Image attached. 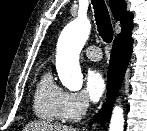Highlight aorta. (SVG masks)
<instances>
[{
  "label": "aorta",
  "instance_id": "762f6f07",
  "mask_svg": "<svg viewBox=\"0 0 147 131\" xmlns=\"http://www.w3.org/2000/svg\"><path fill=\"white\" fill-rule=\"evenodd\" d=\"M88 19L80 18L70 22L62 31L57 44L56 68L63 86L78 91L83 86V74L79 65V54L90 34ZM123 109L115 106L111 116L109 131H123Z\"/></svg>",
  "mask_w": 147,
  "mask_h": 131
}]
</instances>
